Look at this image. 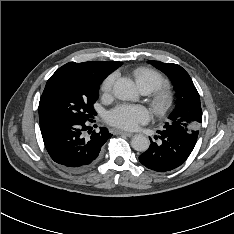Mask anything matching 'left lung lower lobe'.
Returning a JSON list of instances; mask_svg holds the SVG:
<instances>
[{"label":"left lung lower lobe","mask_w":234,"mask_h":234,"mask_svg":"<svg viewBox=\"0 0 234 234\" xmlns=\"http://www.w3.org/2000/svg\"><path fill=\"white\" fill-rule=\"evenodd\" d=\"M157 133L159 136L154 138L161 141L155 142L150 138L151 144L148 150L139 156V161L158 172L170 171L183 164L196 144L178 132L164 129Z\"/></svg>","instance_id":"1"}]
</instances>
